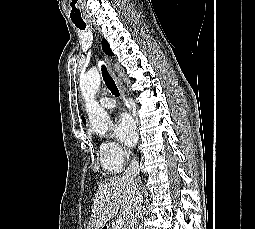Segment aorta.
Masks as SVG:
<instances>
[{
	"label": "aorta",
	"instance_id": "obj_1",
	"mask_svg": "<svg viewBox=\"0 0 255 229\" xmlns=\"http://www.w3.org/2000/svg\"><path fill=\"white\" fill-rule=\"evenodd\" d=\"M119 71V66L116 67ZM123 76V73L120 72ZM128 83V79L124 78ZM100 85V74L96 68H91L85 75L80 79V89L86 102V111L92 125L93 130L104 136L111 124V119L107 112L99 106L95 100V94Z\"/></svg>",
	"mask_w": 255,
	"mask_h": 229
}]
</instances>
